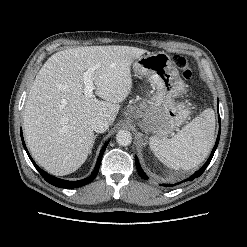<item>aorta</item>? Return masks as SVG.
Masks as SVG:
<instances>
[{
	"label": "aorta",
	"mask_w": 247,
	"mask_h": 247,
	"mask_svg": "<svg viewBox=\"0 0 247 247\" xmlns=\"http://www.w3.org/2000/svg\"><path fill=\"white\" fill-rule=\"evenodd\" d=\"M116 142L120 146H128L132 142V134L128 130H120L116 134Z\"/></svg>",
	"instance_id": "aorta-1"
}]
</instances>
